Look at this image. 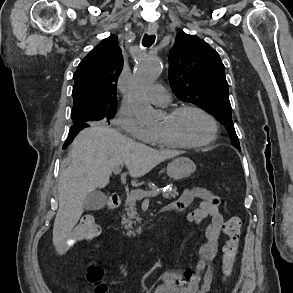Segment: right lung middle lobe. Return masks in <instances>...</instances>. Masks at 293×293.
Listing matches in <instances>:
<instances>
[{"label":"right lung middle lobe","instance_id":"dd1d6c3e","mask_svg":"<svg viewBox=\"0 0 293 293\" xmlns=\"http://www.w3.org/2000/svg\"><path fill=\"white\" fill-rule=\"evenodd\" d=\"M116 108L113 109H95L76 108L73 106L71 118L73 124L90 123L91 121H109L115 117Z\"/></svg>","mask_w":293,"mask_h":293}]
</instances>
